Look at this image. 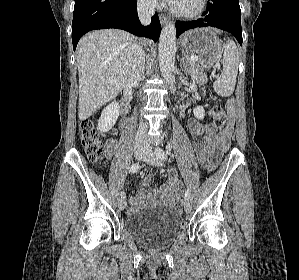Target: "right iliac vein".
<instances>
[{
  "instance_id": "obj_1",
  "label": "right iliac vein",
  "mask_w": 299,
  "mask_h": 280,
  "mask_svg": "<svg viewBox=\"0 0 299 280\" xmlns=\"http://www.w3.org/2000/svg\"><path fill=\"white\" fill-rule=\"evenodd\" d=\"M145 155V150L142 148H135L134 149V156L136 159H142ZM118 206L120 210H124L127 206V203L124 198H121L118 202Z\"/></svg>"
}]
</instances>
